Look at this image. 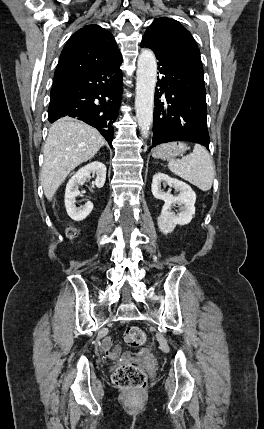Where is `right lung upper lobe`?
<instances>
[{"mask_svg": "<svg viewBox=\"0 0 264 429\" xmlns=\"http://www.w3.org/2000/svg\"><path fill=\"white\" fill-rule=\"evenodd\" d=\"M119 52L109 31L99 25L81 28L71 36L62 50L53 87L90 72Z\"/></svg>", "mask_w": 264, "mask_h": 429, "instance_id": "right-lung-upper-lobe-1", "label": "right lung upper lobe"}]
</instances>
